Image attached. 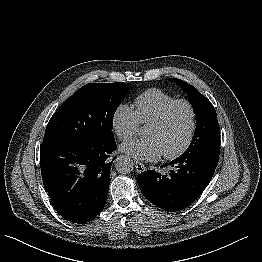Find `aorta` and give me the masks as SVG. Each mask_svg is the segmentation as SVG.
<instances>
[{
	"label": "aorta",
	"instance_id": "obj_1",
	"mask_svg": "<svg viewBox=\"0 0 262 262\" xmlns=\"http://www.w3.org/2000/svg\"><path fill=\"white\" fill-rule=\"evenodd\" d=\"M133 160L128 156H119L115 161L116 170L121 174H128L133 170Z\"/></svg>",
	"mask_w": 262,
	"mask_h": 262
}]
</instances>
